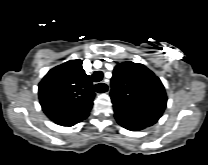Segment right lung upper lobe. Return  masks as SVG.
Instances as JSON below:
<instances>
[{
    "label": "right lung upper lobe",
    "mask_w": 208,
    "mask_h": 165,
    "mask_svg": "<svg viewBox=\"0 0 208 165\" xmlns=\"http://www.w3.org/2000/svg\"><path fill=\"white\" fill-rule=\"evenodd\" d=\"M91 86L82 60H70L56 66L39 83L42 110L54 123L71 127L89 115L95 96Z\"/></svg>",
    "instance_id": "right-lung-upper-lobe-1"
}]
</instances>
